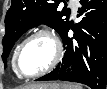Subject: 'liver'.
I'll list each match as a JSON object with an SVG mask.
<instances>
[{"instance_id":"1","label":"liver","mask_w":107,"mask_h":89,"mask_svg":"<svg viewBox=\"0 0 107 89\" xmlns=\"http://www.w3.org/2000/svg\"><path fill=\"white\" fill-rule=\"evenodd\" d=\"M45 85L48 84H34V85H29L26 87V89H31V88H43ZM49 85H56L59 86L60 84H49Z\"/></svg>"}]
</instances>
